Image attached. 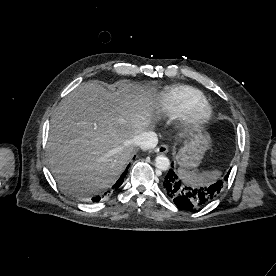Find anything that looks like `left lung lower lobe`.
Masks as SVG:
<instances>
[{
	"label": "left lung lower lobe",
	"instance_id": "left-lung-lower-lobe-1",
	"mask_svg": "<svg viewBox=\"0 0 276 276\" xmlns=\"http://www.w3.org/2000/svg\"><path fill=\"white\" fill-rule=\"evenodd\" d=\"M227 179L228 175L224 177V180ZM224 180L206 188H195L182 181L181 177L171 168L165 176L163 188L178 207L184 209L200 208L211 202L220 193Z\"/></svg>",
	"mask_w": 276,
	"mask_h": 276
}]
</instances>
